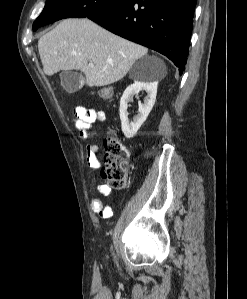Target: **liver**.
I'll use <instances>...</instances> for the list:
<instances>
[{"label":"liver","instance_id":"6515ba94","mask_svg":"<svg viewBox=\"0 0 247 299\" xmlns=\"http://www.w3.org/2000/svg\"><path fill=\"white\" fill-rule=\"evenodd\" d=\"M44 73L81 70L89 87H101L121 80L147 49L117 36L93 21L66 19L38 41ZM92 62L93 66L88 63ZM162 70L166 67L160 62Z\"/></svg>","mask_w":247,"mask_h":299}]
</instances>
